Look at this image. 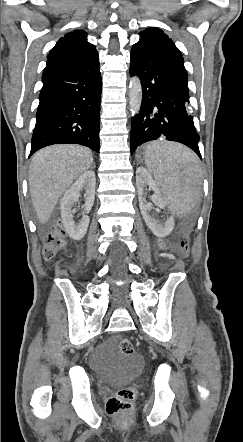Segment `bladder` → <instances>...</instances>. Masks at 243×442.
<instances>
[{
    "label": "bladder",
    "mask_w": 243,
    "mask_h": 442,
    "mask_svg": "<svg viewBox=\"0 0 243 442\" xmlns=\"http://www.w3.org/2000/svg\"><path fill=\"white\" fill-rule=\"evenodd\" d=\"M142 361L137 356L124 355L116 362L115 379L119 382H126L134 379L141 368Z\"/></svg>",
    "instance_id": "31cf9c89"
}]
</instances>
